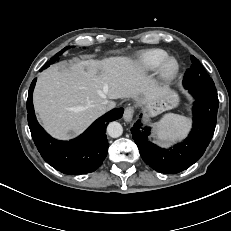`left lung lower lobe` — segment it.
Instances as JSON below:
<instances>
[{
	"label": "left lung lower lobe",
	"mask_w": 231,
	"mask_h": 231,
	"mask_svg": "<svg viewBox=\"0 0 231 231\" xmlns=\"http://www.w3.org/2000/svg\"><path fill=\"white\" fill-rule=\"evenodd\" d=\"M194 97L193 128L188 137L170 149H162L148 141L150 127H142L138 120L131 133L144 162L154 170L176 174L200 159L208 146L217 121V92L201 88H186Z\"/></svg>",
	"instance_id": "obj_1"
}]
</instances>
